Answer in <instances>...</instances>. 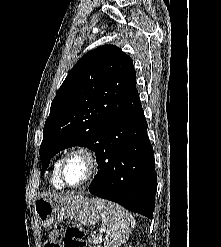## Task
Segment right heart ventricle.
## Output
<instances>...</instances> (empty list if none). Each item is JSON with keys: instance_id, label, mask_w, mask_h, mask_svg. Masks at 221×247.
<instances>
[{"instance_id": "e07e8e85", "label": "right heart ventricle", "mask_w": 221, "mask_h": 247, "mask_svg": "<svg viewBox=\"0 0 221 247\" xmlns=\"http://www.w3.org/2000/svg\"><path fill=\"white\" fill-rule=\"evenodd\" d=\"M61 159H57L53 166L51 182L53 186L57 189H62L64 187L60 177H59V169H60Z\"/></svg>"}]
</instances>
